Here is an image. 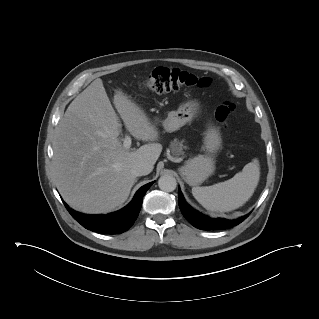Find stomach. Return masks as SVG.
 Listing matches in <instances>:
<instances>
[{"instance_id":"stomach-1","label":"stomach","mask_w":319,"mask_h":319,"mask_svg":"<svg viewBox=\"0 0 319 319\" xmlns=\"http://www.w3.org/2000/svg\"><path fill=\"white\" fill-rule=\"evenodd\" d=\"M199 110V103L196 100H189L182 103L176 111H171L163 121L164 129L167 132L179 130L186 123L192 121ZM221 135L215 126H209L204 133L203 149L205 155H198L187 160L179 168L180 175L190 186H197L203 183L215 171V155L221 148Z\"/></svg>"}]
</instances>
